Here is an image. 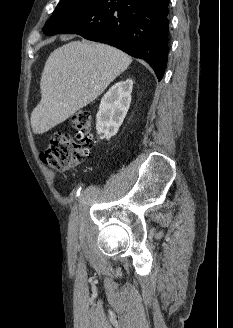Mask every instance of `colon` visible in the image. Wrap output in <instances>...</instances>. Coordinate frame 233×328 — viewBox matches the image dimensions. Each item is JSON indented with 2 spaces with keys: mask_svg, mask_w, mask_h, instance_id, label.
<instances>
[{
  "mask_svg": "<svg viewBox=\"0 0 233 328\" xmlns=\"http://www.w3.org/2000/svg\"><path fill=\"white\" fill-rule=\"evenodd\" d=\"M71 125L75 138L67 132H56L41 154L43 162L54 170H68L80 164L90 154L93 142L91 114L86 110L78 111L72 116Z\"/></svg>",
  "mask_w": 233,
  "mask_h": 328,
  "instance_id": "1",
  "label": "colon"
}]
</instances>
